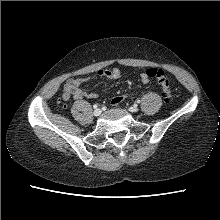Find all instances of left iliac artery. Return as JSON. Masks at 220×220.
<instances>
[{"label": "left iliac artery", "mask_w": 220, "mask_h": 220, "mask_svg": "<svg viewBox=\"0 0 220 220\" xmlns=\"http://www.w3.org/2000/svg\"><path fill=\"white\" fill-rule=\"evenodd\" d=\"M136 103H137V104H139V103H140V100H139V99H138V100H136Z\"/></svg>", "instance_id": "left-iliac-artery-1"}]
</instances>
